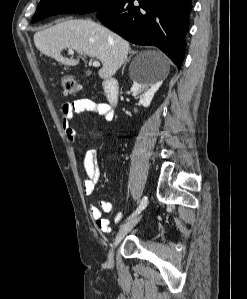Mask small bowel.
Here are the masks:
<instances>
[{"instance_id": "c3829d8e", "label": "small bowel", "mask_w": 247, "mask_h": 299, "mask_svg": "<svg viewBox=\"0 0 247 299\" xmlns=\"http://www.w3.org/2000/svg\"><path fill=\"white\" fill-rule=\"evenodd\" d=\"M89 112L94 115L102 116L106 121L113 118L111 107L103 102H96L89 98L76 99L71 102H65L61 107L62 127L68 140L74 142L77 137V132L72 126V120L77 113ZM83 166L86 172V179L83 182V192L85 195H92L96 185L100 181V171L97 165V150L89 149L83 155ZM113 210V205L109 201H99V206L91 205L89 208L90 215L95 221L96 227L104 232L111 231L110 221L103 216V213H110ZM123 214L117 212L114 220L116 223L121 222Z\"/></svg>"}]
</instances>
